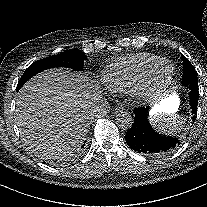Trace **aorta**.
<instances>
[{
	"label": "aorta",
	"mask_w": 207,
	"mask_h": 207,
	"mask_svg": "<svg viewBox=\"0 0 207 207\" xmlns=\"http://www.w3.org/2000/svg\"><path fill=\"white\" fill-rule=\"evenodd\" d=\"M116 124L119 128L123 130L129 129L133 124V117L130 113L125 111H120L115 117Z\"/></svg>",
	"instance_id": "aorta-1"
}]
</instances>
